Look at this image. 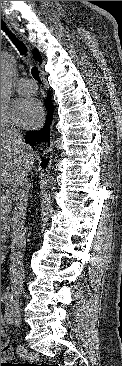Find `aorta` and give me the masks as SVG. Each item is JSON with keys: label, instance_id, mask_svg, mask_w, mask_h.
Segmentation results:
<instances>
[{"label": "aorta", "instance_id": "1", "mask_svg": "<svg viewBox=\"0 0 122 366\" xmlns=\"http://www.w3.org/2000/svg\"><path fill=\"white\" fill-rule=\"evenodd\" d=\"M15 59L9 53L1 54V103H5L12 91Z\"/></svg>", "mask_w": 122, "mask_h": 366}]
</instances>
